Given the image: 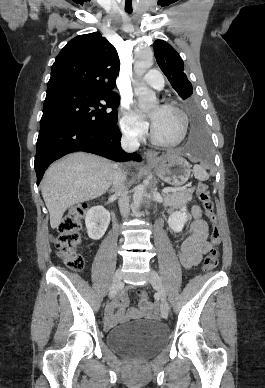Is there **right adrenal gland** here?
<instances>
[{
  "instance_id": "1",
  "label": "right adrenal gland",
  "mask_w": 265,
  "mask_h": 388,
  "mask_svg": "<svg viewBox=\"0 0 265 388\" xmlns=\"http://www.w3.org/2000/svg\"><path fill=\"white\" fill-rule=\"evenodd\" d=\"M113 192H115L114 188H111V190H109V194H113Z\"/></svg>"
}]
</instances>
